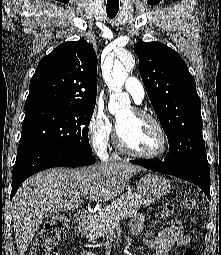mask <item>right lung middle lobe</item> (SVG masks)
Instances as JSON below:
<instances>
[{
	"instance_id": "obj_1",
	"label": "right lung middle lobe",
	"mask_w": 221,
	"mask_h": 255,
	"mask_svg": "<svg viewBox=\"0 0 221 255\" xmlns=\"http://www.w3.org/2000/svg\"><path fill=\"white\" fill-rule=\"evenodd\" d=\"M95 105L43 107L25 111L19 144L34 143L92 154L88 126Z\"/></svg>"
}]
</instances>
